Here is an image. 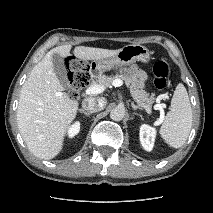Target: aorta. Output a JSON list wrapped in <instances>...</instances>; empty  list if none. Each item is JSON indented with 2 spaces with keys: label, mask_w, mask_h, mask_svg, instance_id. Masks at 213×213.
Wrapping results in <instances>:
<instances>
[{
  "label": "aorta",
  "mask_w": 213,
  "mask_h": 213,
  "mask_svg": "<svg viewBox=\"0 0 213 213\" xmlns=\"http://www.w3.org/2000/svg\"><path fill=\"white\" fill-rule=\"evenodd\" d=\"M125 116V110L122 107H115L110 112V118L114 121H121Z\"/></svg>",
  "instance_id": "762f6f07"
}]
</instances>
